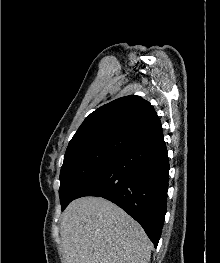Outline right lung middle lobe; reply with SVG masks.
<instances>
[{"label":"right lung middle lobe","mask_w":220,"mask_h":263,"mask_svg":"<svg viewBox=\"0 0 220 263\" xmlns=\"http://www.w3.org/2000/svg\"><path fill=\"white\" fill-rule=\"evenodd\" d=\"M121 152L118 149L92 148L65 153L59 189L62 210L93 177L117 159Z\"/></svg>","instance_id":"right-lung-middle-lobe-1"}]
</instances>
